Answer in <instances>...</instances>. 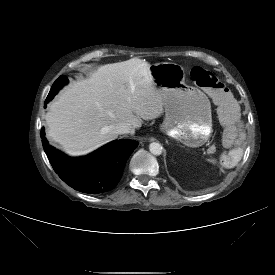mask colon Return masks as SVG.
<instances>
[{
	"label": "colon",
	"instance_id": "1",
	"mask_svg": "<svg viewBox=\"0 0 275 275\" xmlns=\"http://www.w3.org/2000/svg\"><path fill=\"white\" fill-rule=\"evenodd\" d=\"M191 77L199 87L203 88L212 97L217 106L228 101L229 92L227 88L210 71L200 66H195L191 70Z\"/></svg>",
	"mask_w": 275,
	"mask_h": 275
}]
</instances>
